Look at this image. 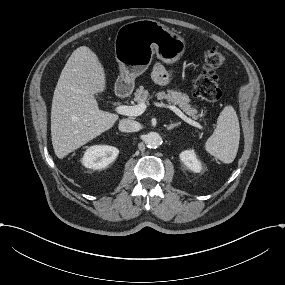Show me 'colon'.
<instances>
[{
    "instance_id": "colon-1",
    "label": "colon",
    "mask_w": 285,
    "mask_h": 285,
    "mask_svg": "<svg viewBox=\"0 0 285 285\" xmlns=\"http://www.w3.org/2000/svg\"><path fill=\"white\" fill-rule=\"evenodd\" d=\"M226 62V56L216 48L207 49L203 55L201 71L193 84L194 96L200 100L215 103L221 99L215 71Z\"/></svg>"
}]
</instances>
